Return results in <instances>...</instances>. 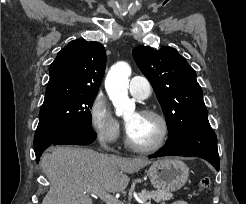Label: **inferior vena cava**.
I'll list each match as a JSON object with an SVG mask.
<instances>
[{
	"mask_svg": "<svg viewBox=\"0 0 246 204\" xmlns=\"http://www.w3.org/2000/svg\"><path fill=\"white\" fill-rule=\"evenodd\" d=\"M104 147L107 149V146L104 144ZM111 158H114L115 156L114 155H111L110 156Z\"/></svg>",
	"mask_w": 246,
	"mask_h": 204,
	"instance_id": "inferior-vena-cava-1",
	"label": "inferior vena cava"
}]
</instances>
